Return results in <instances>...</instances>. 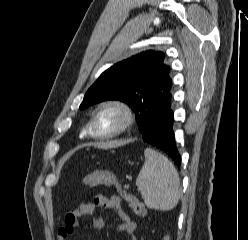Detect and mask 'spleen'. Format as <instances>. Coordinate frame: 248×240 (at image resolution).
I'll list each match as a JSON object with an SVG mask.
<instances>
[{
    "label": "spleen",
    "instance_id": "spleen-1",
    "mask_svg": "<svg viewBox=\"0 0 248 240\" xmlns=\"http://www.w3.org/2000/svg\"><path fill=\"white\" fill-rule=\"evenodd\" d=\"M144 155L145 163L136 185L147 207L169 211L177 205L181 196L179 174L163 154L147 148Z\"/></svg>",
    "mask_w": 248,
    "mask_h": 240
}]
</instances>
